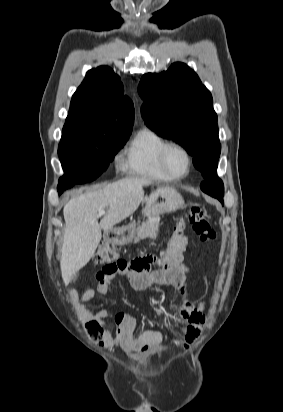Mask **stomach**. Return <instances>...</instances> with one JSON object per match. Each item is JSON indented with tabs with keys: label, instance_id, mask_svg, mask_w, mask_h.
Segmentation results:
<instances>
[{
	"label": "stomach",
	"instance_id": "obj_1",
	"mask_svg": "<svg viewBox=\"0 0 283 412\" xmlns=\"http://www.w3.org/2000/svg\"><path fill=\"white\" fill-rule=\"evenodd\" d=\"M184 205L183 197L170 187L158 188L146 199L144 215L148 218L158 217L164 213H171L181 209ZM135 224L115 231L108 241L115 245H124L131 241L133 235L126 234V231H134Z\"/></svg>",
	"mask_w": 283,
	"mask_h": 412
}]
</instances>
